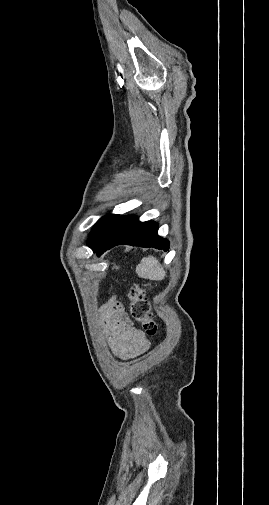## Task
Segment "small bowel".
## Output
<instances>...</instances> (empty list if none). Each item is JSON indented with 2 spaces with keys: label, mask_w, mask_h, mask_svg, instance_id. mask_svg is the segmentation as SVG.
<instances>
[{
  "label": "small bowel",
  "mask_w": 269,
  "mask_h": 505,
  "mask_svg": "<svg viewBox=\"0 0 269 505\" xmlns=\"http://www.w3.org/2000/svg\"><path fill=\"white\" fill-rule=\"evenodd\" d=\"M100 314L110 346L118 357L130 359L147 351L149 340L132 324L119 301L111 299Z\"/></svg>",
  "instance_id": "c3829d8e"
}]
</instances>
